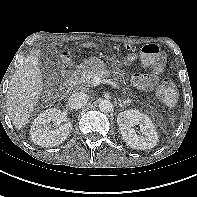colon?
<instances>
[{"mask_svg":"<svg viewBox=\"0 0 197 197\" xmlns=\"http://www.w3.org/2000/svg\"><path fill=\"white\" fill-rule=\"evenodd\" d=\"M142 61L146 65L154 68V71L161 73L166 66V57L164 52L156 44H146L141 49ZM159 97L170 106L177 103V91L175 85L170 79H164L158 88Z\"/></svg>","mask_w":197,"mask_h":197,"instance_id":"obj_1","label":"colon"}]
</instances>
